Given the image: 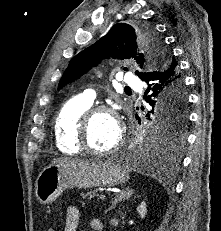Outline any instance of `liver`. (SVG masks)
Listing matches in <instances>:
<instances>
[{
	"instance_id": "liver-1",
	"label": "liver",
	"mask_w": 221,
	"mask_h": 231,
	"mask_svg": "<svg viewBox=\"0 0 221 231\" xmlns=\"http://www.w3.org/2000/svg\"><path fill=\"white\" fill-rule=\"evenodd\" d=\"M76 161H80V160L70 159V158H58V159L53 160L51 165L64 164V163L76 162Z\"/></svg>"
}]
</instances>
